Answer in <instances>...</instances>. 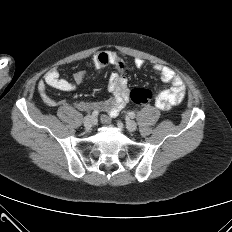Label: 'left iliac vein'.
Masks as SVG:
<instances>
[{
    "label": "left iliac vein",
    "instance_id": "1",
    "mask_svg": "<svg viewBox=\"0 0 232 232\" xmlns=\"http://www.w3.org/2000/svg\"><path fill=\"white\" fill-rule=\"evenodd\" d=\"M126 128L128 131L133 132L136 130L137 125L133 120H127L126 121Z\"/></svg>",
    "mask_w": 232,
    "mask_h": 232
}]
</instances>
